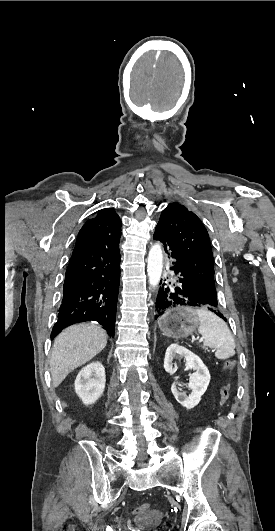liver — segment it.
<instances>
[{
    "label": "liver",
    "mask_w": 275,
    "mask_h": 531,
    "mask_svg": "<svg viewBox=\"0 0 275 531\" xmlns=\"http://www.w3.org/2000/svg\"><path fill=\"white\" fill-rule=\"evenodd\" d=\"M107 333L99 325H72L56 337L50 367L53 387H58L76 367L85 365L103 351Z\"/></svg>",
    "instance_id": "liver-1"
}]
</instances>
